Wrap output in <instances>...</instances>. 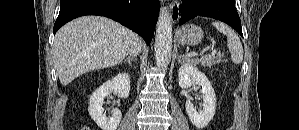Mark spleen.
<instances>
[{
    "mask_svg": "<svg viewBox=\"0 0 299 130\" xmlns=\"http://www.w3.org/2000/svg\"><path fill=\"white\" fill-rule=\"evenodd\" d=\"M212 25L227 37V46L231 52V59L235 64L243 60V47L237 34L227 25L221 22H213Z\"/></svg>",
    "mask_w": 299,
    "mask_h": 130,
    "instance_id": "spleen-1",
    "label": "spleen"
}]
</instances>
